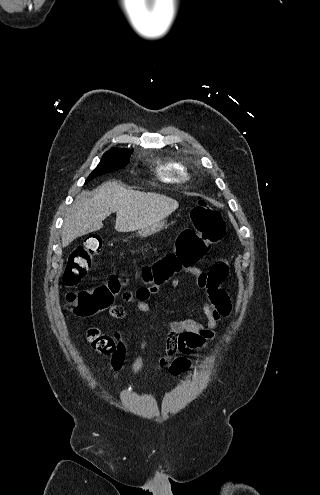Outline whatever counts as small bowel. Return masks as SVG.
<instances>
[{
    "mask_svg": "<svg viewBox=\"0 0 320 495\" xmlns=\"http://www.w3.org/2000/svg\"><path fill=\"white\" fill-rule=\"evenodd\" d=\"M184 270L196 278L197 285L204 289L205 299L202 301V309L207 317V326H203L196 320L187 319L180 321H169L164 324L166 335V353L160 359V367L166 368L172 375H177L191 365V357L198 351L206 348L215 337V329L219 321L229 315L231 302L226 293L220 289L219 285L227 277L228 265L225 260L220 259L214 263L209 273H205L200 268L185 267ZM177 281L174 282V285ZM143 293L145 299H137V293ZM158 292V286L151 284L137 289L135 294L126 291L123 300L126 303L134 304L135 309L141 313H150L148 304L150 295ZM108 314L113 318H125L126 309L123 306H113L108 310ZM146 339H142L139 344V355L135 358L131 370L134 374L141 372L144 366V352ZM125 353V346L119 341L116 358L118 362H112L115 373L117 372ZM177 354H180L176 356Z\"/></svg>",
    "mask_w": 320,
    "mask_h": 495,
    "instance_id": "obj_1",
    "label": "small bowel"
}]
</instances>
